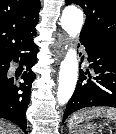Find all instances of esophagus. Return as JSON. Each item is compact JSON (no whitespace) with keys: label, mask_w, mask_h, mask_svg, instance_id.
<instances>
[{"label":"esophagus","mask_w":116,"mask_h":134,"mask_svg":"<svg viewBox=\"0 0 116 134\" xmlns=\"http://www.w3.org/2000/svg\"><path fill=\"white\" fill-rule=\"evenodd\" d=\"M65 44H66V36L59 33L58 41L56 44V56L57 58H62L65 53Z\"/></svg>","instance_id":"34e87169"}]
</instances>
